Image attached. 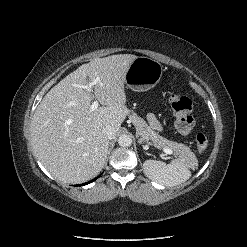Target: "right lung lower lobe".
Instances as JSON below:
<instances>
[{
    "label": "right lung lower lobe",
    "mask_w": 247,
    "mask_h": 247,
    "mask_svg": "<svg viewBox=\"0 0 247 247\" xmlns=\"http://www.w3.org/2000/svg\"><path fill=\"white\" fill-rule=\"evenodd\" d=\"M99 177H100V176L96 177L94 180H96V179H97V178H99ZM91 182H93V180H92V181H90V182H86V183L80 184V185H76V186L86 185V184H89V183H91Z\"/></svg>",
    "instance_id": "1"
}]
</instances>
